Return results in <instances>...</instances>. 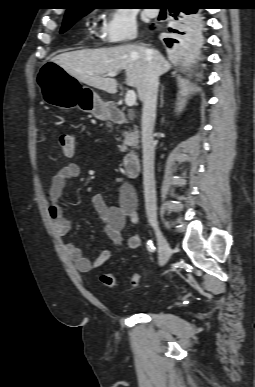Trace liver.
<instances>
[{
    "label": "liver",
    "instance_id": "6515ba94",
    "mask_svg": "<svg viewBox=\"0 0 255 387\" xmlns=\"http://www.w3.org/2000/svg\"><path fill=\"white\" fill-rule=\"evenodd\" d=\"M155 64L158 75L170 70V63L154 49L139 45H121L100 49H83L61 53L52 62L62 67L79 82L110 94L117 92V81L106 77L109 72L125 70L126 85L142 89L147 72L148 54Z\"/></svg>",
    "mask_w": 255,
    "mask_h": 387
}]
</instances>
